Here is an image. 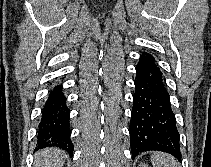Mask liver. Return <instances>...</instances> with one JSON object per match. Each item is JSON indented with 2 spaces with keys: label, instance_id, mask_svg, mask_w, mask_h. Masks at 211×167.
Here are the masks:
<instances>
[{
  "label": "liver",
  "instance_id": "liver-1",
  "mask_svg": "<svg viewBox=\"0 0 211 167\" xmlns=\"http://www.w3.org/2000/svg\"><path fill=\"white\" fill-rule=\"evenodd\" d=\"M34 167H62L66 153L58 148H46L35 155Z\"/></svg>",
  "mask_w": 211,
  "mask_h": 167
}]
</instances>
